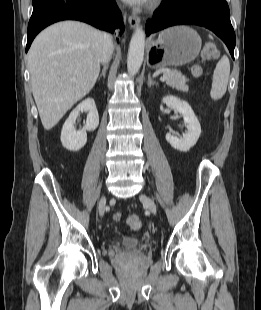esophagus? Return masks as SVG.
Listing matches in <instances>:
<instances>
[{"instance_id": "1", "label": "esophagus", "mask_w": 261, "mask_h": 310, "mask_svg": "<svg viewBox=\"0 0 261 310\" xmlns=\"http://www.w3.org/2000/svg\"><path fill=\"white\" fill-rule=\"evenodd\" d=\"M128 21H129L130 27L132 29H135L140 23V18L138 16L130 15L128 18Z\"/></svg>"}]
</instances>
